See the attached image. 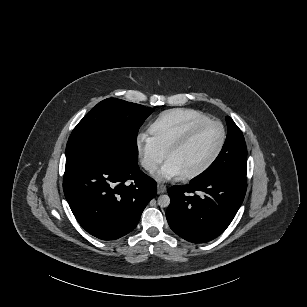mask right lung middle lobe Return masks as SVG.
Wrapping results in <instances>:
<instances>
[{"label":"right lung middle lobe","mask_w":307,"mask_h":307,"mask_svg":"<svg viewBox=\"0 0 307 307\" xmlns=\"http://www.w3.org/2000/svg\"><path fill=\"white\" fill-rule=\"evenodd\" d=\"M152 112L150 107L116 98L99 102L72 131L66 146V159L101 151L129 164H137V133Z\"/></svg>","instance_id":"obj_1"}]
</instances>
